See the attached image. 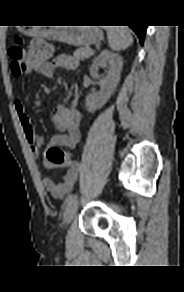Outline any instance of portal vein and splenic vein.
I'll list each match as a JSON object with an SVG mask.
<instances>
[{
    "label": "portal vein and splenic vein",
    "instance_id": "18ae733b",
    "mask_svg": "<svg viewBox=\"0 0 184 292\" xmlns=\"http://www.w3.org/2000/svg\"><path fill=\"white\" fill-rule=\"evenodd\" d=\"M93 53H94V50H91V51H90V54L92 55Z\"/></svg>",
    "mask_w": 184,
    "mask_h": 292
}]
</instances>
